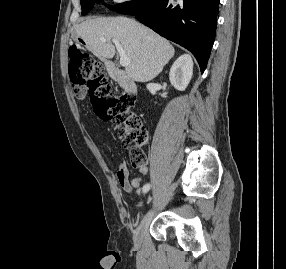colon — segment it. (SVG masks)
I'll return each instance as SVG.
<instances>
[{
	"instance_id": "obj_1",
	"label": "colon",
	"mask_w": 286,
	"mask_h": 269,
	"mask_svg": "<svg viewBox=\"0 0 286 269\" xmlns=\"http://www.w3.org/2000/svg\"><path fill=\"white\" fill-rule=\"evenodd\" d=\"M69 75L74 84L73 92L79 96L81 87H87L95 114L103 121L111 122L120 128V137L130 152L131 164L140 168L146 164L143 146L147 133L136 115L130 112L131 97L116 93L104 74L102 63L77 44L68 48Z\"/></svg>"
}]
</instances>
